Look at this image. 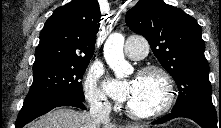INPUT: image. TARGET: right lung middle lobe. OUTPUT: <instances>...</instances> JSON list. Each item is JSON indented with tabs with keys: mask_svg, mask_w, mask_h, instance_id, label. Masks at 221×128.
Wrapping results in <instances>:
<instances>
[{
	"mask_svg": "<svg viewBox=\"0 0 221 128\" xmlns=\"http://www.w3.org/2000/svg\"><path fill=\"white\" fill-rule=\"evenodd\" d=\"M89 62L90 59H84L33 71V83L24 104L55 95H67L84 101L80 79Z\"/></svg>",
	"mask_w": 221,
	"mask_h": 128,
	"instance_id": "right-lung-middle-lobe-1",
	"label": "right lung middle lobe"
}]
</instances>
